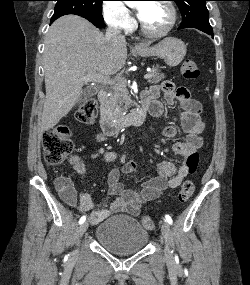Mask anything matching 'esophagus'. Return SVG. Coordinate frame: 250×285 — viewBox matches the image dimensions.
<instances>
[{
	"label": "esophagus",
	"mask_w": 250,
	"mask_h": 285,
	"mask_svg": "<svg viewBox=\"0 0 250 285\" xmlns=\"http://www.w3.org/2000/svg\"><path fill=\"white\" fill-rule=\"evenodd\" d=\"M134 48H135V49H141V46H140L139 44H135V45H134Z\"/></svg>",
	"instance_id": "obj_1"
}]
</instances>
